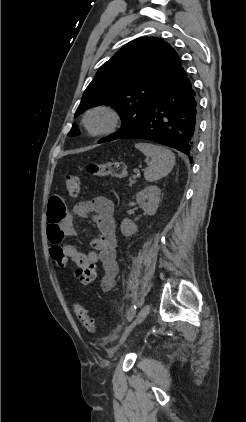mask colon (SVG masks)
Returning a JSON list of instances; mask_svg holds the SVG:
<instances>
[{
    "mask_svg": "<svg viewBox=\"0 0 246 422\" xmlns=\"http://www.w3.org/2000/svg\"><path fill=\"white\" fill-rule=\"evenodd\" d=\"M87 172L92 176L97 177H116L124 178L127 175L126 165L122 162L111 161L102 164H89L86 168ZM65 187L68 193L76 197L80 194V182L76 176H67ZM51 256L57 266L64 268L69 264L64 252L59 247L51 249ZM97 275V268L95 264H88L77 271V277L82 284L92 283ZM73 311L76 318L81 325L89 332L94 333L97 331L96 322L88 315L86 309L79 303L75 302Z\"/></svg>",
    "mask_w": 246,
    "mask_h": 422,
    "instance_id": "1",
    "label": "colon"
}]
</instances>
